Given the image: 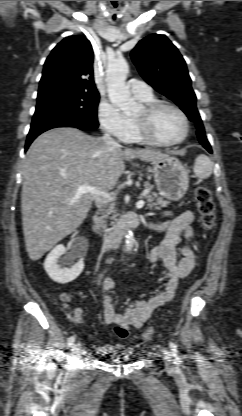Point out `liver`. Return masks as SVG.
I'll return each instance as SVG.
<instances>
[{"instance_id": "liver-1", "label": "liver", "mask_w": 242, "mask_h": 416, "mask_svg": "<svg viewBox=\"0 0 242 416\" xmlns=\"http://www.w3.org/2000/svg\"><path fill=\"white\" fill-rule=\"evenodd\" d=\"M166 157L154 150L107 146L101 138L71 127L38 136L26 154L21 195L23 233L30 259L39 260L86 218L93 195L78 194L79 185L108 192L124 173L125 160L152 162Z\"/></svg>"}]
</instances>
